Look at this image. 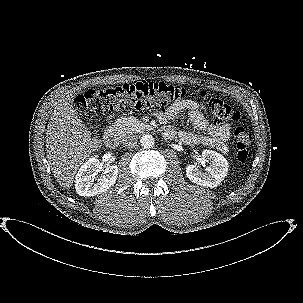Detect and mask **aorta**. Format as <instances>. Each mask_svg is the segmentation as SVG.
<instances>
[{
	"label": "aorta",
	"instance_id": "aorta-1",
	"mask_svg": "<svg viewBox=\"0 0 303 303\" xmlns=\"http://www.w3.org/2000/svg\"><path fill=\"white\" fill-rule=\"evenodd\" d=\"M155 140L152 135L144 134L140 139V144L143 148L149 149L154 146Z\"/></svg>",
	"mask_w": 303,
	"mask_h": 303
}]
</instances>
